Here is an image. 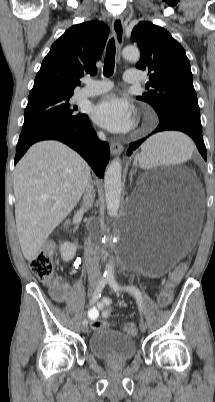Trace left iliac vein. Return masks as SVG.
Wrapping results in <instances>:
<instances>
[{
	"mask_svg": "<svg viewBox=\"0 0 215 402\" xmlns=\"http://www.w3.org/2000/svg\"><path fill=\"white\" fill-rule=\"evenodd\" d=\"M140 330H141V332H145L147 330V324L144 320H141Z\"/></svg>",
	"mask_w": 215,
	"mask_h": 402,
	"instance_id": "1",
	"label": "left iliac vein"
}]
</instances>
